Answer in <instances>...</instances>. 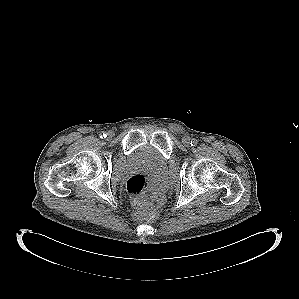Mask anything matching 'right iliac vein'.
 I'll list each match as a JSON object with an SVG mask.
<instances>
[{
	"instance_id": "obj_1",
	"label": "right iliac vein",
	"mask_w": 299,
	"mask_h": 299,
	"mask_svg": "<svg viewBox=\"0 0 299 299\" xmlns=\"http://www.w3.org/2000/svg\"><path fill=\"white\" fill-rule=\"evenodd\" d=\"M114 135V133L112 131L108 132V137H112Z\"/></svg>"
}]
</instances>
